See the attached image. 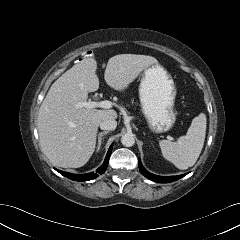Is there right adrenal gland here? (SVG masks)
<instances>
[{
  "mask_svg": "<svg viewBox=\"0 0 240 240\" xmlns=\"http://www.w3.org/2000/svg\"><path fill=\"white\" fill-rule=\"evenodd\" d=\"M107 133H108V131L99 133V135H98L97 152H98V151L100 150V148H101V143H102L103 136L106 135Z\"/></svg>",
  "mask_w": 240,
  "mask_h": 240,
  "instance_id": "1",
  "label": "right adrenal gland"
}]
</instances>
